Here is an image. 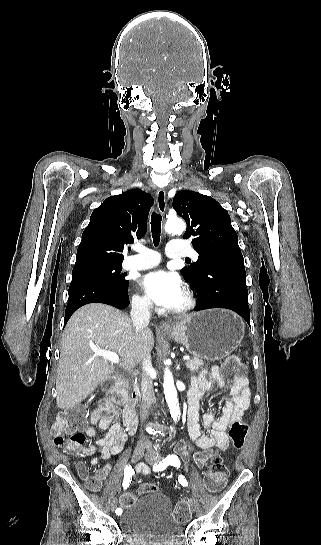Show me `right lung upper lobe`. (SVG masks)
Listing matches in <instances>:
<instances>
[{"instance_id": "cb5924a9", "label": "right lung upper lobe", "mask_w": 321, "mask_h": 545, "mask_svg": "<svg viewBox=\"0 0 321 545\" xmlns=\"http://www.w3.org/2000/svg\"><path fill=\"white\" fill-rule=\"evenodd\" d=\"M152 205L153 198L140 189L107 198L92 212L78 246L74 269L122 264L124 245L146 233Z\"/></svg>"}]
</instances>
